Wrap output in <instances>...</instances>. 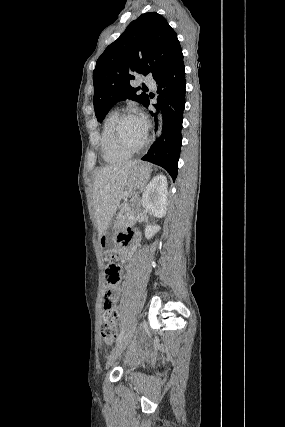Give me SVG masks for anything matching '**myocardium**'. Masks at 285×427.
Returning a JSON list of instances; mask_svg holds the SVG:
<instances>
[{
  "instance_id": "f54148a6",
  "label": "myocardium",
  "mask_w": 285,
  "mask_h": 427,
  "mask_svg": "<svg viewBox=\"0 0 285 427\" xmlns=\"http://www.w3.org/2000/svg\"><path fill=\"white\" fill-rule=\"evenodd\" d=\"M131 117L138 118V116L132 112H123V113L118 114V116L116 117L114 124L112 126V136H113V140H114V142L118 148H120L124 152L133 154V153H137V152L141 151L148 144L149 136H148V131H146V136H145L144 140L142 141V143L139 144L138 146H135V147H131L124 142L122 135H121V125H122L124 120L131 118Z\"/></svg>"
}]
</instances>
